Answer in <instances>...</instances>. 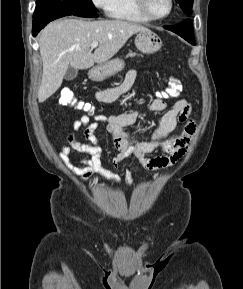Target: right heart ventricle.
<instances>
[{"label": "right heart ventricle", "mask_w": 243, "mask_h": 289, "mask_svg": "<svg viewBox=\"0 0 243 289\" xmlns=\"http://www.w3.org/2000/svg\"><path fill=\"white\" fill-rule=\"evenodd\" d=\"M110 17L123 21L144 23L150 21L140 13L135 0H112Z\"/></svg>", "instance_id": "e07e8e85"}]
</instances>
